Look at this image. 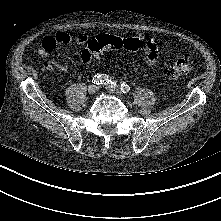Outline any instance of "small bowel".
Instances as JSON below:
<instances>
[{
    "mask_svg": "<svg viewBox=\"0 0 221 221\" xmlns=\"http://www.w3.org/2000/svg\"><path fill=\"white\" fill-rule=\"evenodd\" d=\"M89 41L90 38L87 35H78L74 39H72L67 34H57L55 36L45 37L42 41L41 47L38 49L39 55L45 58L43 62L44 69L52 70L56 68L60 71H66L68 69V65L66 62H58L49 58L51 51H53L57 47V45L71 44L72 42H74L76 45L84 46L87 45ZM144 41V62L148 66H153L158 60L157 45L152 38H146ZM82 61L86 64H89L92 62V59H82Z\"/></svg>",
    "mask_w": 221,
    "mask_h": 221,
    "instance_id": "1",
    "label": "small bowel"
}]
</instances>
